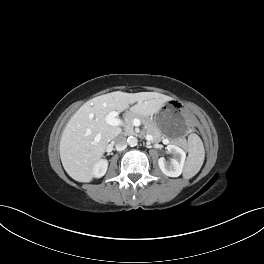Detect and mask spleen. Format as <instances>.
Instances as JSON below:
<instances>
[{"label":"spleen","instance_id":"spleen-1","mask_svg":"<svg viewBox=\"0 0 264 264\" xmlns=\"http://www.w3.org/2000/svg\"><path fill=\"white\" fill-rule=\"evenodd\" d=\"M188 152L189 155L184 168L185 179H190L199 172L205 158L202 140L194 133L188 137Z\"/></svg>","mask_w":264,"mask_h":264}]
</instances>
